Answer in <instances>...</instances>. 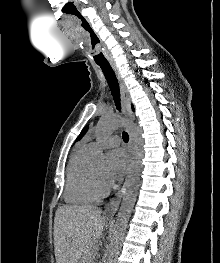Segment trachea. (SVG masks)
Masks as SVG:
<instances>
[{"instance_id": "1", "label": "trachea", "mask_w": 220, "mask_h": 263, "mask_svg": "<svg viewBox=\"0 0 220 263\" xmlns=\"http://www.w3.org/2000/svg\"><path fill=\"white\" fill-rule=\"evenodd\" d=\"M100 68L102 69L105 78L107 80V83L109 85V88L111 90L115 105L118 110H121V105H120V90H119V85L118 81L116 78V75L112 69V67L108 65H99ZM123 141L127 143L129 141V135L127 132H123Z\"/></svg>"}]
</instances>
